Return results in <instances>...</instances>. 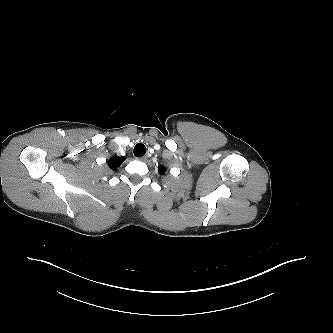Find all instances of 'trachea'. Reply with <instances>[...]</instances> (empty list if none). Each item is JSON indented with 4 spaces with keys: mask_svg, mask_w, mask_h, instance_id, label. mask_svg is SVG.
Instances as JSON below:
<instances>
[{
    "mask_svg": "<svg viewBox=\"0 0 333 333\" xmlns=\"http://www.w3.org/2000/svg\"><path fill=\"white\" fill-rule=\"evenodd\" d=\"M133 152H134V155H135L136 157H143V156L145 155V153H146V147H145L144 144H142V143H138V144H136V146L134 147Z\"/></svg>",
    "mask_w": 333,
    "mask_h": 333,
    "instance_id": "obj_1",
    "label": "trachea"
}]
</instances>
